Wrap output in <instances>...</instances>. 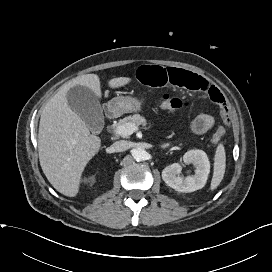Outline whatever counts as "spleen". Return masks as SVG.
Returning <instances> with one entry per match:
<instances>
[{
	"label": "spleen",
	"instance_id": "1",
	"mask_svg": "<svg viewBox=\"0 0 272 272\" xmlns=\"http://www.w3.org/2000/svg\"><path fill=\"white\" fill-rule=\"evenodd\" d=\"M226 168V154L225 148L222 143H220L216 149L214 158V172L210 185L211 190H215L221 183Z\"/></svg>",
	"mask_w": 272,
	"mask_h": 272
}]
</instances>
